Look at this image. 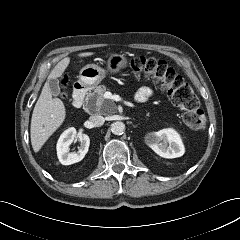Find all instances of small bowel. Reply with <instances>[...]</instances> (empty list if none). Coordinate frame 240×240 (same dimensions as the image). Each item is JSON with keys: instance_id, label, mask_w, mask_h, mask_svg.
<instances>
[{"instance_id": "small-bowel-1", "label": "small bowel", "mask_w": 240, "mask_h": 240, "mask_svg": "<svg viewBox=\"0 0 240 240\" xmlns=\"http://www.w3.org/2000/svg\"><path fill=\"white\" fill-rule=\"evenodd\" d=\"M151 95L152 90L149 87H142L136 92L135 99L138 102H145L150 98Z\"/></svg>"}]
</instances>
